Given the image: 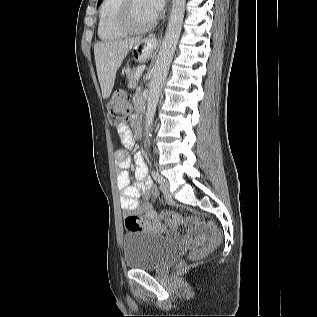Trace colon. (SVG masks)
I'll return each mask as SVG.
<instances>
[{
  "label": "colon",
  "mask_w": 317,
  "mask_h": 317,
  "mask_svg": "<svg viewBox=\"0 0 317 317\" xmlns=\"http://www.w3.org/2000/svg\"><path fill=\"white\" fill-rule=\"evenodd\" d=\"M130 112L131 107L128 102L126 92L121 88L116 89L107 104V115L109 123L115 127H119L129 118ZM163 218L168 224L172 226H176L179 224H196L195 220L173 212L165 213ZM124 222L126 228L130 231L151 229L159 232L163 230V225L161 224V222H150L145 218H141L135 215H128L125 218ZM210 227L211 229L208 235L204 237V239L190 252V260L196 261L203 258L207 254V252L218 246V244L220 243L221 234L219 230L215 228L211 223Z\"/></svg>",
  "instance_id": "1"
}]
</instances>
